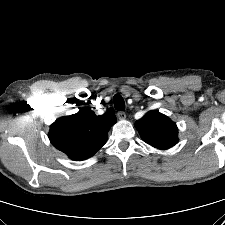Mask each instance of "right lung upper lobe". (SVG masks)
Here are the masks:
<instances>
[{"label": "right lung upper lobe", "mask_w": 225, "mask_h": 225, "mask_svg": "<svg viewBox=\"0 0 225 225\" xmlns=\"http://www.w3.org/2000/svg\"><path fill=\"white\" fill-rule=\"evenodd\" d=\"M117 119L112 112L95 115L92 110L57 119L50 127L53 146L76 161L93 156L107 141L108 131Z\"/></svg>", "instance_id": "1"}]
</instances>
